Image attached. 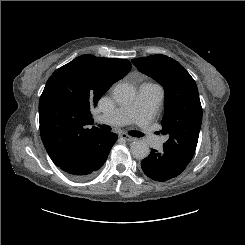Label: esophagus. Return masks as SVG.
<instances>
[{
	"instance_id": "esophagus-1",
	"label": "esophagus",
	"mask_w": 245,
	"mask_h": 245,
	"mask_svg": "<svg viewBox=\"0 0 245 245\" xmlns=\"http://www.w3.org/2000/svg\"><path fill=\"white\" fill-rule=\"evenodd\" d=\"M119 137L123 140H126V141H133L134 138L129 136L128 134L126 133H119Z\"/></svg>"
}]
</instances>
